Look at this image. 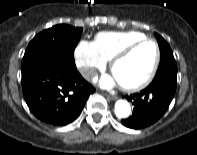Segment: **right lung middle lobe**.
<instances>
[{"label": "right lung middle lobe", "instance_id": "dd1d6c3e", "mask_svg": "<svg viewBox=\"0 0 197 155\" xmlns=\"http://www.w3.org/2000/svg\"><path fill=\"white\" fill-rule=\"evenodd\" d=\"M82 30V28L60 24L37 34L25 51L22 60V76L50 61L74 62V49L81 37Z\"/></svg>", "mask_w": 197, "mask_h": 155}]
</instances>
